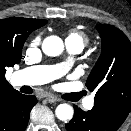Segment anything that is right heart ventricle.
I'll use <instances>...</instances> for the list:
<instances>
[{"label":"right heart ventricle","instance_id":"obj_1","mask_svg":"<svg viewBox=\"0 0 131 131\" xmlns=\"http://www.w3.org/2000/svg\"><path fill=\"white\" fill-rule=\"evenodd\" d=\"M66 42L80 44L84 47L89 42V37L83 31L77 28H71L67 32Z\"/></svg>","mask_w":131,"mask_h":131}]
</instances>
